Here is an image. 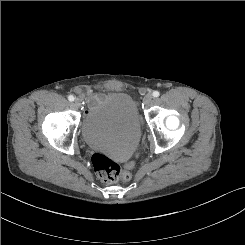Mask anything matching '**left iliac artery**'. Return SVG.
<instances>
[{"label": "left iliac artery", "instance_id": "44dca946", "mask_svg": "<svg viewBox=\"0 0 245 245\" xmlns=\"http://www.w3.org/2000/svg\"><path fill=\"white\" fill-rule=\"evenodd\" d=\"M159 95H160V92H159V91H154V92L152 93V96H153L154 98L159 97Z\"/></svg>", "mask_w": 245, "mask_h": 245}]
</instances>
